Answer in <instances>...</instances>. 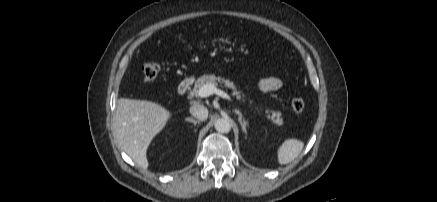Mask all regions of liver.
<instances>
[{"instance_id":"liver-1","label":"liver","mask_w":437,"mask_h":202,"mask_svg":"<svg viewBox=\"0 0 437 202\" xmlns=\"http://www.w3.org/2000/svg\"><path fill=\"white\" fill-rule=\"evenodd\" d=\"M171 112L155 102L120 98L114 131L121 148L143 169L148 168L147 149L165 127Z\"/></svg>"}]
</instances>
